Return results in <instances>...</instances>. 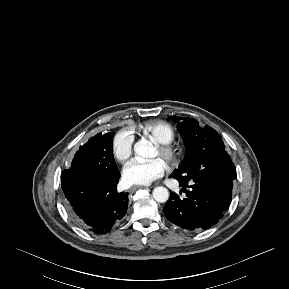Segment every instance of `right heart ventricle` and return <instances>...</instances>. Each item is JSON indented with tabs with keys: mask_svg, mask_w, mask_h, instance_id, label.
<instances>
[{
	"mask_svg": "<svg viewBox=\"0 0 289 289\" xmlns=\"http://www.w3.org/2000/svg\"><path fill=\"white\" fill-rule=\"evenodd\" d=\"M137 132L148 137L154 143H172L175 139V132L171 125L162 121H151L144 123L137 128Z\"/></svg>",
	"mask_w": 289,
	"mask_h": 289,
	"instance_id": "1",
	"label": "right heart ventricle"
}]
</instances>
